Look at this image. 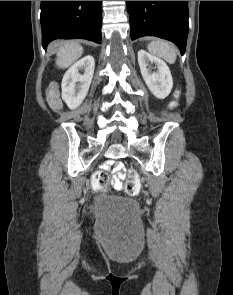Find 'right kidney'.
<instances>
[{"label":"right kidney","instance_id":"obj_1","mask_svg":"<svg viewBox=\"0 0 233 295\" xmlns=\"http://www.w3.org/2000/svg\"><path fill=\"white\" fill-rule=\"evenodd\" d=\"M95 60L91 55L73 64L62 79V99L70 109L77 108L86 97L94 74ZM79 71H83L80 74Z\"/></svg>","mask_w":233,"mask_h":295}]
</instances>
